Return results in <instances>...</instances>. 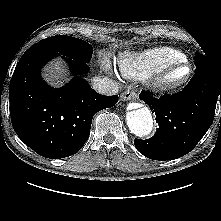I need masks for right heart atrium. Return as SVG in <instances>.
Masks as SVG:
<instances>
[{
    "label": "right heart atrium",
    "instance_id": "1",
    "mask_svg": "<svg viewBox=\"0 0 221 221\" xmlns=\"http://www.w3.org/2000/svg\"><path fill=\"white\" fill-rule=\"evenodd\" d=\"M103 67L106 69V70H110V64L107 60H104L103 61Z\"/></svg>",
    "mask_w": 221,
    "mask_h": 221
}]
</instances>
